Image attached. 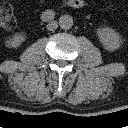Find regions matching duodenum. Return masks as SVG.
Here are the masks:
<instances>
[{
  "instance_id": "obj_1",
  "label": "duodenum",
  "mask_w": 128,
  "mask_h": 128,
  "mask_svg": "<svg viewBox=\"0 0 128 128\" xmlns=\"http://www.w3.org/2000/svg\"><path fill=\"white\" fill-rule=\"evenodd\" d=\"M64 6L74 8V9H82L85 6L84 0H65L64 1ZM56 12L52 9H47L42 12V19L43 21L50 22L55 19Z\"/></svg>"
}]
</instances>
